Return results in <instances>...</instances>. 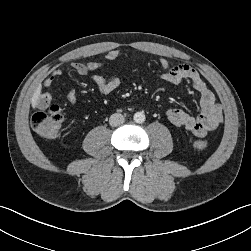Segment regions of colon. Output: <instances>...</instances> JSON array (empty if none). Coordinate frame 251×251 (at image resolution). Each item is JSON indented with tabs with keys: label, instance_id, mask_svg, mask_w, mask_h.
I'll return each instance as SVG.
<instances>
[{
	"label": "colon",
	"instance_id": "obj_1",
	"mask_svg": "<svg viewBox=\"0 0 251 251\" xmlns=\"http://www.w3.org/2000/svg\"><path fill=\"white\" fill-rule=\"evenodd\" d=\"M64 115L58 105H51L48 109H41L35 112L31 119L32 128L44 138L58 137L63 128ZM197 149L203 150L208 147L204 140L194 142Z\"/></svg>",
	"mask_w": 251,
	"mask_h": 251
}]
</instances>
